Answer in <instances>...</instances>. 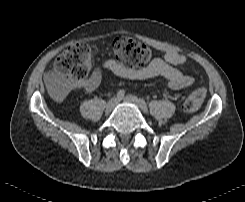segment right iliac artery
I'll return each instance as SVG.
<instances>
[{
    "instance_id": "obj_1",
    "label": "right iliac artery",
    "mask_w": 245,
    "mask_h": 202,
    "mask_svg": "<svg viewBox=\"0 0 245 202\" xmlns=\"http://www.w3.org/2000/svg\"><path fill=\"white\" fill-rule=\"evenodd\" d=\"M125 95V90L124 89H120L118 92H117V98L120 100L124 97Z\"/></svg>"
}]
</instances>
